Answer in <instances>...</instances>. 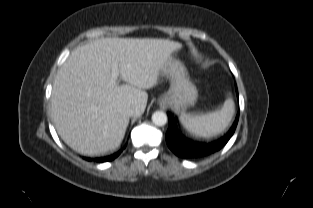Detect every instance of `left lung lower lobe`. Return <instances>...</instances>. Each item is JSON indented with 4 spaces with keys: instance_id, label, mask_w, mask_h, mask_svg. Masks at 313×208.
<instances>
[{
    "instance_id": "1",
    "label": "left lung lower lobe",
    "mask_w": 313,
    "mask_h": 208,
    "mask_svg": "<svg viewBox=\"0 0 313 208\" xmlns=\"http://www.w3.org/2000/svg\"><path fill=\"white\" fill-rule=\"evenodd\" d=\"M238 118L239 115H237L234 125L224 137L212 143L206 144L195 142L184 136L178 129L175 119L171 114H168L169 127L166 133L167 145L177 156L182 158H198L210 155L225 146L235 132Z\"/></svg>"
}]
</instances>
